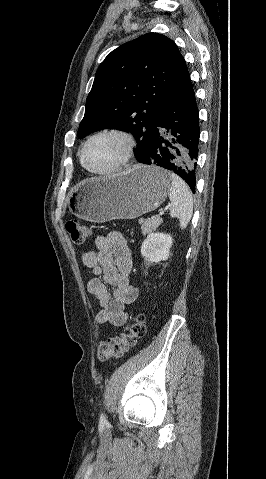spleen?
I'll use <instances>...</instances> for the list:
<instances>
[{"label": "spleen", "mask_w": 266, "mask_h": 479, "mask_svg": "<svg viewBox=\"0 0 266 479\" xmlns=\"http://www.w3.org/2000/svg\"><path fill=\"white\" fill-rule=\"evenodd\" d=\"M170 216L178 218L180 228L185 229L193 214V198L187 184L174 173L170 174Z\"/></svg>", "instance_id": "1"}]
</instances>
